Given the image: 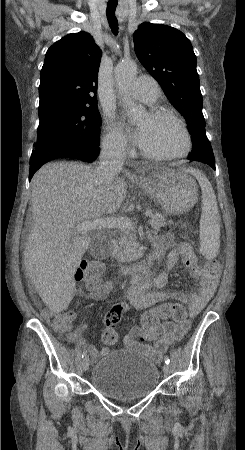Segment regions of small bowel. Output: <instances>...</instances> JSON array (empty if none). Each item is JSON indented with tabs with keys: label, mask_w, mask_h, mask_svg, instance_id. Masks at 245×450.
Returning a JSON list of instances; mask_svg holds the SVG:
<instances>
[{
	"label": "small bowel",
	"mask_w": 245,
	"mask_h": 450,
	"mask_svg": "<svg viewBox=\"0 0 245 450\" xmlns=\"http://www.w3.org/2000/svg\"><path fill=\"white\" fill-rule=\"evenodd\" d=\"M150 238L153 247L151 256L155 261L165 258V270L153 274L144 272L133 276L127 290L131 306L136 310H148L161 302L180 303L187 307L191 318L198 316L218 285V271L210 273L203 269L191 245L176 241L171 233L163 235L152 233ZM180 261L199 281L201 288L198 292L186 295L175 290L165 289L169 277L168 271L173 270ZM112 285V282H103L96 288L86 286V291H80L79 294L92 299H105ZM189 328L190 322L188 321L184 323H176L172 320L161 321L149 334V340L154 343L153 348L137 340L138 335L142 333L140 328H134L131 333L126 335L123 338V344L130 349H142L149 354L162 355L172 343L180 340ZM84 330L86 328L70 333L67 340L71 343H79L91 356L105 354L109 351V348L105 347L98 352L88 345L81 336Z\"/></svg>",
	"instance_id": "obj_1"
}]
</instances>
